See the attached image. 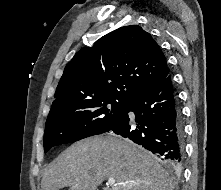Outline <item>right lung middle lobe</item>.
Masks as SVG:
<instances>
[{
	"label": "right lung middle lobe",
	"instance_id": "dd1d6c3e",
	"mask_svg": "<svg viewBox=\"0 0 221 190\" xmlns=\"http://www.w3.org/2000/svg\"><path fill=\"white\" fill-rule=\"evenodd\" d=\"M126 100L102 98L51 110L45 125L44 149L72 143L113 128L122 118Z\"/></svg>",
	"mask_w": 221,
	"mask_h": 190
}]
</instances>
